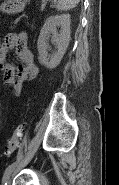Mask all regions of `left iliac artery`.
Returning a JSON list of instances; mask_svg holds the SVG:
<instances>
[{"instance_id":"44dca946","label":"left iliac artery","mask_w":119,"mask_h":185,"mask_svg":"<svg viewBox=\"0 0 119 185\" xmlns=\"http://www.w3.org/2000/svg\"><path fill=\"white\" fill-rule=\"evenodd\" d=\"M17 163H18V161H16V162L10 164V165L6 168V170L4 171L3 178H2V183H3L4 185H7L6 179H7V177L9 176V174L12 172V170L15 168V166L17 165Z\"/></svg>"}]
</instances>
